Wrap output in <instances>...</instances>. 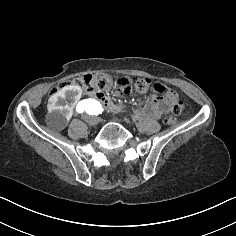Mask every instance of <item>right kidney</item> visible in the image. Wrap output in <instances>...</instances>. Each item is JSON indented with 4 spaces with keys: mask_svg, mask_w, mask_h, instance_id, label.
Segmentation results:
<instances>
[{
    "mask_svg": "<svg viewBox=\"0 0 236 236\" xmlns=\"http://www.w3.org/2000/svg\"><path fill=\"white\" fill-rule=\"evenodd\" d=\"M68 91H72L73 94L67 93ZM81 94L80 86H66L52 96L54 98L52 99V110L49 111V114L55 130L62 131L65 129L72 116V111L69 108L74 103V99H80Z\"/></svg>",
    "mask_w": 236,
    "mask_h": 236,
    "instance_id": "1",
    "label": "right kidney"
}]
</instances>
